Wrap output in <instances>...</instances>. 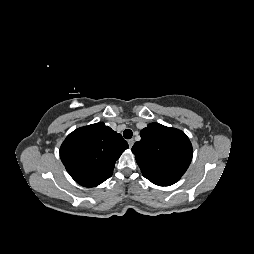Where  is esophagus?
I'll return each instance as SVG.
<instances>
[{
  "label": "esophagus",
  "instance_id": "obj_1",
  "mask_svg": "<svg viewBox=\"0 0 254 254\" xmlns=\"http://www.w3.org/2000/svg\"><path fill=\"white\" fill-rule=\"evenodd\" d=\"M128 144H129V147L132 148V146L134 144V139L128 140Z\"/></svg>",
  "mask_w": 254,
  "mask_h": 254
}]
</instances>
